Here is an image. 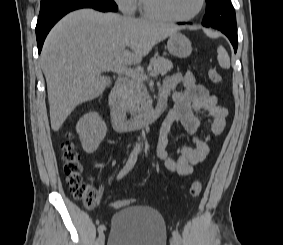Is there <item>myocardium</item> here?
Masks as SVG:
<instances>
[{"instance_id": "obj_1", "label": "myocardium", "mask_w": 283, "mask_h": 245, "mask_svg": "<svg viewBox=\"0 0 283 245\" xmlns=\"http://www.w3.org/2000/svg\"><path fill=\"white\" fill-rule=\"evenodd\" d=\"M141 8L143 14L153 20L164 21V22H188L196 18L204 9L206 5V0H200L197 9L190 15L184 17H171L156 11L155 9L151 8L148 4L147 0H140Z\"/></svg>"}]
</instances>
